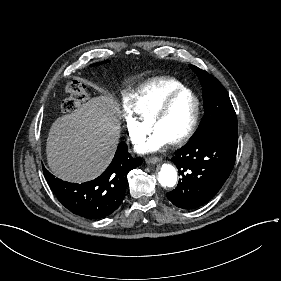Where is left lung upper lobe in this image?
I'll return each instance as SVG.
<instances>
[{
    "mask_svg": "<svg viewBox=\"0 0 281 281\" xmlns=\"http://www.w3.org/2000/svg\"><path fill=\"white\" fill-rule=\"evenodd\" d=\"M189 66L196 72L202 84L205 109V114L194 135L201 133L203 130L237 134L236 114L225 88L206 71L194 65Z\"/></svg>",
    "mask_w": 281,
    "mask_h": 281,
    "instance_id": "obj_1",
    "label": "left lung upper lobe"
}]
</instances>
